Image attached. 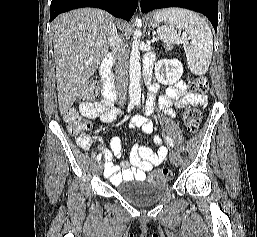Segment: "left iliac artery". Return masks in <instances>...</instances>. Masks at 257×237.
<instances>
[{
    "instance_id": "1",
    "label": "left iliac artery",
    "mask_w": 257,
    "mask_h": 237,
    "mask_svg": "<svg viewBox=\"0 0 257 237\" xmlns=\"http://www.w3.org/2000/svg\"><path fill=\"white\" fill-rule=\"evenodd\" d=\"M137 105H140V102H137ZM165 140L172 148L174 147V143L169 136H165Z\"/></svg>"
}]
</instances>
